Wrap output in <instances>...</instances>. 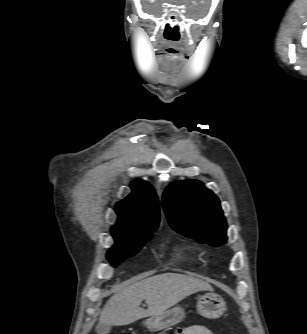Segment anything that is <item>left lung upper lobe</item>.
<instances>
[{
	"instance_id": "left-lung-upper-lobe-1",
	"label": "left lung upper lobe",
	"mask_w": 307,
	"mask_h": 334,
	"mask_svg": "<svg viewBox=\"0 0 307 334\" xmlns=\"http://www.w3.org/2000/svg\"><path fill=\"white\" fill-rule=\"evenodd\" d=\"M162 205L171 227L178 233L211 246L227 240V224L218 198L197 180L169 185Z\"/></svg>"
}]
</instances>
